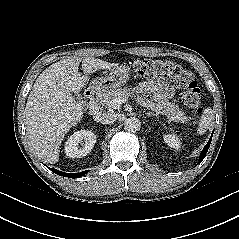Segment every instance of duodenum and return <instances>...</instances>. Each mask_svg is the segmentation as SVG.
Segmentation results:
<instances>
[{"instance_id": "obj_1", "label": "duodenum", "mask_w": 239, "mask_h": 239, "mask_svg": "<svg viewBox=\"0 0 239 239\" xmlns=\"http://www.w3.org/2000/svg\"><path fill=\"white\" fill-rule=\"evenodd\" d=\"M85 97L89 102V110L90 113L95 115L98 113V106H97V92L95 89H88L85 92Z\"/></svg>"}]
</instances>
